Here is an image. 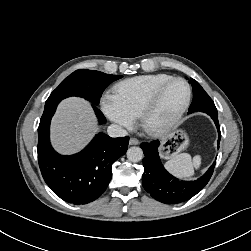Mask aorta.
Listing matches in <instances>:
<instances>
[{
    "mask_svg": "<svg viewBox=\"0 0 251 251\" xmlns=\"http://www.w3.org/2000/svg\"><path fill=\"white\" fill-rule=\"evenodd\" d=\"M127 158L131 162H139L143 158V150L140 147H130L127 150Z\"/></svg>",
    "mask_w": 251,
    "mask_h": 251,
    "instance_id": "1",
    "label": "aorta"
}]
</instances>
